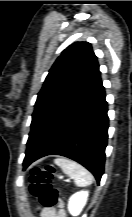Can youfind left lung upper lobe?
Instances as JSON below:
<instances>
[{"mask_svg": "<svg viewBox=\"0 0 132 217\" xmlns=\"http://www.w3.org/2000/svg\"><path fill=\"white\" fill-rule=\"evenodd\" d=\"M98 74L97 57L90 43L75 42L62 52L38 93L26 153L36 146L50 125Z\"/></svg>", "mask_w": 132, "mask_h": 217, "instance_id": "left-lung-upper-lobe-1", "label": "left lung upper lobe"}]
</instances>
